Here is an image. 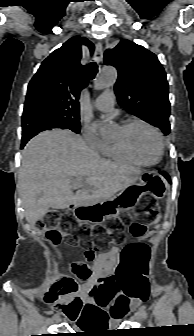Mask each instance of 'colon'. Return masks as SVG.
<instances>
[{
    "label": "colon",
    "instance_id": "colon-1",
    "mask_svg": "<svg viewBox=\"0 0 194 336\" xmlns=\"http://www.w3.org/2000/svg\"><path fill=\"white\" fill-rule=\"evenodd\" d=\"M143 206L144 210L140 219L131 221L129 217L124 216L129 233L134 238L142 237L148 231L151 222H155L159 214L155 202L146 199ZM39 225L51 243L57 244L65 239L71 244L84 246L88 259L95 258L102 253L108 243V239L100 229L94 230V239L77 235L73 230V220L69 214L49 213ZM120 232L121 227L116 224L113 233L118 236ZM147 258V249L144 246L128 245L121 254V260L117 268V279L104 284L105 287L110 288L114 295H117L116 304L113 306V312L117 317L128 311L132 299L137 297L143 299L145 291L137 286L136 274L146 270ZM73 268L78 278H85L90 274L89 268L84 264H73ZM42 299L46 303L54 305L71 321H77L85 307L78 294V281L71 276L60 277Z\"/></svg>",
    "mask_w": 194,
    "mask_h": 336
}]
</instances>
